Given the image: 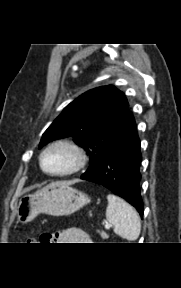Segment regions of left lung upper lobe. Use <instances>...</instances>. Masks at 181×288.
Segmentation results:
<instances>
[{
  "label": "left lung upper lobe",
  "mask_w": 181,
  "mask_h": 288,
  "mask_svg": "<svg viewBox=\"0 0 181 288\" xmlns=\"http://www.w3.org/2000/svg\"><path fill=\"white\" fill-rule=\"evenodd\" d=\"M123 92L112 85L85 92L64 108L44 132L39 148L50 141L72 136L90 157L89 174L121 137L129 118Z\"/></svg>",
  "instance_id": "obj_1"
}]
</instances>
